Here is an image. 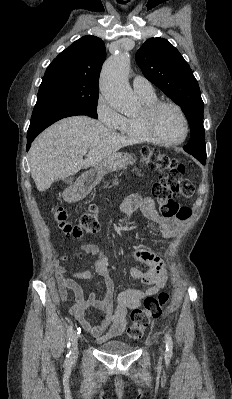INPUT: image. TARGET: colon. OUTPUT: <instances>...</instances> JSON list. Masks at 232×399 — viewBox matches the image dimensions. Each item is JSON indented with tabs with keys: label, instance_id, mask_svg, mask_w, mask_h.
I'll return each mask as SVG.
<instances>
[{
	"label": "colon",
	"instance_id": "5ec220e1",
	"mask_svg": "<svg viewBox=\"0 0 232 399\" xmlns=\"http://www.w3.org/2000/svg\"><path fill=\"white\" fill-rule=\"evenodd\" d=\"M144 164L149 168H156V172H168V175H157V180H167L162 186H153L152 190L159 196H193L196 186L188 179L187 175H183L182 163H177L175 159L160 154L153 147H148L144 151ZM176 198H156V203H163L162 214L164 218H180V222H185V218H189V208L182 207V203H176ZM88 213H97V208H88ZM53 221L60 231H65V238L79 239L86 232H99V222L92 218V215H84L79 222L70 223L65 212L56 209L52 213ZM167 296H145V301H167ZM146 308H149L146 309ZM162 308H166V303H161V307H157V303H144V308H140L131 313L129 334L131 338H142L143 325H149V320H157Z\"/></svg>",
	"mask_w": 232,
	"mask_h": 399
}]
</instances>
